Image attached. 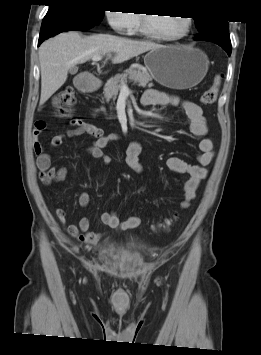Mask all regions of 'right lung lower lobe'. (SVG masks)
Here are the masks:
<instances>
[{
    "mask_svg": "<svg viewBox=\"0 0 261 355\" xmlns=\"http://www.w3.org/2000/svg\"><path fill=\"white\" fill-rule=\"evenodd\" d=\"M93 24L83 17L63 11L48 12L43 19L38 45L53 35L67 30H87L94 27Z\"/></svg>",
    "mask_w": 261,
    "mask_h": 355,
    "instance_id": "obj_1",
    "label": "right lung lower lobe"
}]
</instances>
